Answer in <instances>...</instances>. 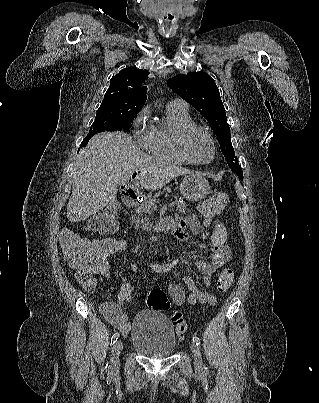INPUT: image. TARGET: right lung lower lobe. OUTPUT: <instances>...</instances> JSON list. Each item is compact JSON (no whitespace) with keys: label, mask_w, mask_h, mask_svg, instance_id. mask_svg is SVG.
I'll use <instances>...</instances> for the list:
<instances>
[{"label":"right lung lower lobe","mask_w":319,"mask_h":403,"mask_svg":"<svg viewBox=\"0 0 319 403\" xmlns=\"http://www.w3.org/2000/svg\"><path fill=\"white\" fill-rule=\"evenodd\" d=\"M96 133H98V132H90V133H88V135L83 139V141H82V146H86L87 145V143H88V141L90 140V138L93 136V135H95Z\"/></svg>","instance_id":"obj_1"}]
</instances>
